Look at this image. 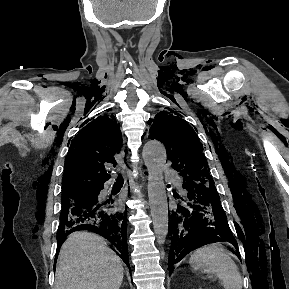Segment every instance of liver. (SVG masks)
<instances>
[{"instance_id": "6515ba94", "label": "liver", "mask_w": 289, "mask_h": 289, "mask_svg": "<svg viewBox=\"0 0 289 289\" xmlns=\"http://www.w3.org/2000/svg\"><path fill=\"white\" fill-rule=\"evenodd\" d=\"M119 256L96 234H70L58 256L54 289H119L123 280Z\"/></svg>"}]
</instances>
